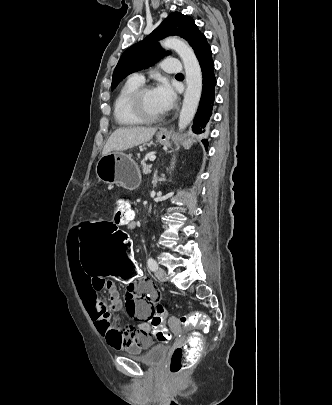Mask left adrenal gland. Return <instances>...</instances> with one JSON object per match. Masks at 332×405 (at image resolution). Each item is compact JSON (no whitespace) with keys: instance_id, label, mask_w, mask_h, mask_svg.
I'll return each instance as SVG.
<instances>
[{"instance_id":"a2214340","label":"left adrenal gland","mask_w":332,"mask_h":405,"mask_svg":"<svg viewBox=\"0 0 332 405\" xmlns=\"http://www.w3.org/2000/svg\"><path fill=\"white\" fill-rule=\"evenodd\" d=\"M159 178L157 177V171L154 173L153 176V186L155 187L157 185Z\"/></svg>"}]
</instances>
